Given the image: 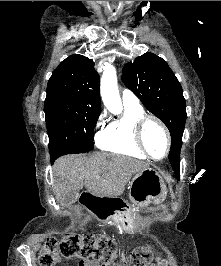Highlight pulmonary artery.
<instances>
[{
	"mask_svg": "<svg viewBox=\"0 0 221 266\" xmlns=\"http://www.w3.org/2000/svg\"><path fill=\"white\" fill-rule=\"evenodd\" d=\"M122 102L124 106H129V107L140 106L137 96L128 89H124L122 92Z\"/></svg>",
	"mask_w": 221,
	"mask_h": 266,
	"instance_id": "pulmonary-artery-1",
	"label": "pulmonary artery"
}]
</instances>
